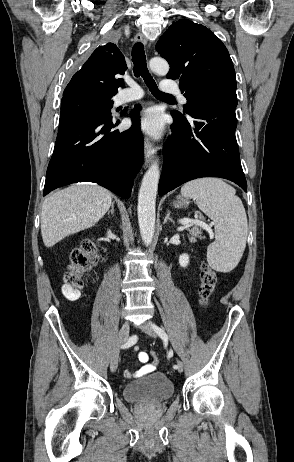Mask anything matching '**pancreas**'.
I'll use <instances>...</instances> for the list:
<instances>
[{
    "mask_svg": "<svg viewBox=\"0 0 294 462\" xmlns=\"http://www.w3.org/2000/svg\"><path fill=\"white\" fill-rule=\"evenodd\" d=\"M187 231L189 232V240L191 242H195L196 238L202 239L201 237L202 231L197 226L188 228Z\"/></svg>",
    "mask_w": 294,
    "mask_h": 462,
    "instance_id": "cf45deb5",
    "label": "pancreas"
}]
</instances>
